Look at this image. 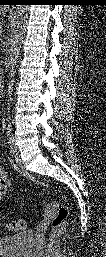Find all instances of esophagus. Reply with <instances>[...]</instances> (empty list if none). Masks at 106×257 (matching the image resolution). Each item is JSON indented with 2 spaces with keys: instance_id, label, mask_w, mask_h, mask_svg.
Listing matches in <instances>:
<instances>
[{
  "instance_id": "esophagus-1",
  "label": "esophagus",
  "mask_w": 106,
  "mask_h": 257,
  "mask_svg": "<svg viewBox=\"0 0 106 257\" xmlns=\"http://www.w3.org/2000/svg\"><path fill=\"white\" fill-rule=\"evenodd\" d=\"M6 10H11L12 8L10 6L5 7Z\"/></svg>"
}]
</instances>
